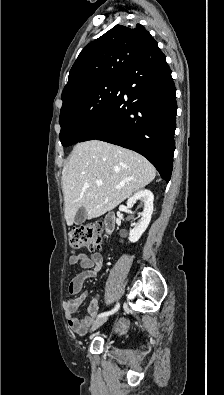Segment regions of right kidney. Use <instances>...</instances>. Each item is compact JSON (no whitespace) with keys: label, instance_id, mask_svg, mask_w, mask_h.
I'll return each instance as SVG.
<instances>
[{"label":"right kidney","instance_id":"right-kidney-1","mask_svg":"<svg viewBox=\"0 0 224 395\" xmlns=\"http://www.w3.org/2000/svg\"><path fill=\"white\" fill-rule=\"evenodd\" d=\"M137 200H141L143 202V211L139 222L130 230L129 240L132 243H135L140 239L150 223L153 212L154 196L153 193L147 189L140 190L128 199L127 207L131 208Z\"/></svg>","mask_w":224,"mask_h":395}]
</instances>
